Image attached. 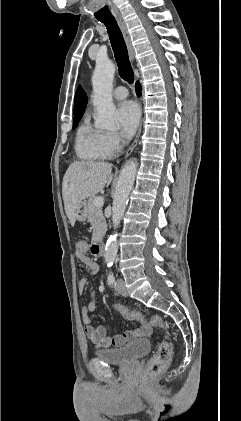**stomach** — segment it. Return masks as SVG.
I'll return each instance as SVG.
<instances>
[{"mask_svg": "<svg viewBox=\"0 0 241 421\" xmlns=\"http://www.w3.org/2000/svg\"><path fill=\"white\" fill-rule=\"evenodd\" d=\"M87 214H88V208H87V204L85 201H82L77 210H76V214H75V218L78 221H85L87 218Z\"/></svg>", "mask_w": 241, "mask_h": 421, "instance_id": "0dacf381", "label": "stomach"}]
</instances>
